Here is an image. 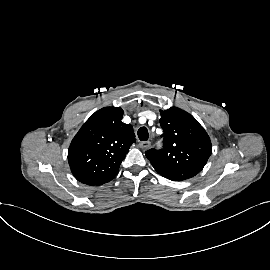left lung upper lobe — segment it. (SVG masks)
<instances>
[{"label": "left lung upper lobe", "instance_id": "obj_1", "mask_svg": "<svg viewBox=\"0 0 270 270\" xmlns=\"http://www.w3.org/2000/svg\"><path fill=\"white\" fill-rule=\"evenodd\" d=\"M160 115L163 148L146 151V157L160 175L172 181L195 176L211 155L208 134L192 115L179 108L161 110Z\"/></svg>", "mask_w": 270, "mask_h": 270}]
</instances>
